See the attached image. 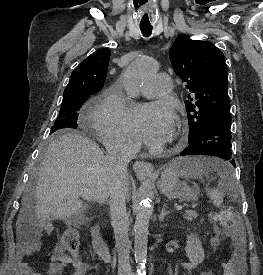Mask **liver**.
I'll return each mask as SVG.
<instances>
[{
    "label": "liver",
    "instance_id": "liver-1",
    "mask_svg": "<svg viewBox=\"0 0 263 275\" xmlns=\"http://www.w3.org/2000/svg\"><path fill=\"white\" fill-rule=\"evenodd\" d=\"M112 187L110 165L99 145L78 133L61 134L45 152L33 191L34 205L28 202L29 190L22 198L17 229L32 220L72 223L88 209L80 193L104 204Z\"/></svg>",
    "mask_w": 263,
    "mask_h": 275
}]
</instances>
